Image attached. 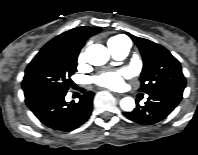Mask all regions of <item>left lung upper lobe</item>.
Here are the masks:
<instances>
[{
    "label": "left lung upper lobe",
    "instance_id": "1",
    "mask_svg": "<svg viewBox=\"0 0 198 155\" xmlns=\"http://www.w3.org/2000/svg\"><path fill=\"white\" fill-rule=\"evenodd\" d=\"M128 36L138 46L144 61L139 90L147 94L159 91L183 93L186 79L179 61L159 44L131 34Z\"/></svg>",
    "mask_w": 198,
    "mask_h": 155
}]
</instances>
